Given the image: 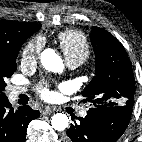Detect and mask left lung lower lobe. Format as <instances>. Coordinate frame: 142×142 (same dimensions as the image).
Returning a JSON list of instances; mask_svg holds the SVG:
<instances>
[{"label":"left lung lower lobe","instance_id":"left-lung-lower-lobe-1","mask_svg":"<svg viewBox=\"0 0 142 142\" xmlns=\"http://www.w3.org/2000/svg\"><path fill=\"white\" fill-rule=\"evenodd\" d=\"M132 107L130 105L94 107L85 118L71 124L64 142H116L126 130Z\"/></svg>","mask_w":142,"mask_h":142}]
</instances>
